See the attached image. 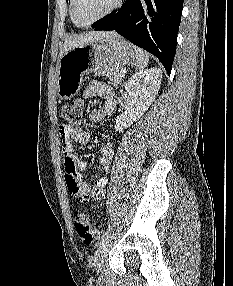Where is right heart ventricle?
<instances>
[{
  "label": "right heart ventricle",
  "mask_w": 233,
  "mask_h": 286,
  "mask_svg": "<svg viewBox=\"0 0 233 286\" xmlns=\"http://www.w3.org/2000/svg\"><path fill=\"white\" fill-rule=\"evenodd\" d=\"M71 5H72V0H70V2H69V16H70V19H71L72 23H73L75 26L79 27V26L73 21V19H72V16H71Z\"/></svg>",
  "instance_id": "obj_1"
}]
</instances>
